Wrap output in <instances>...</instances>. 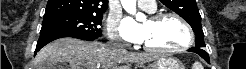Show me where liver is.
Returning <instances> with one entry per match:
<instances>
[{
    "label": "liver",
    "mask_w": 246,
    "mask_h": 69,
    "mask_svg": "<svg viewBox=\"0 0 246 69\" xmlns=\"http://www.w3.org/2000/svg\"><path fill=\"white\" fill-rule=\"evenodd\" d=\"M157 56L131 53L99 42L61 38L43 47L36 55L34 69H56L57 63H69L70 69H124L116 64L151 62Z\"/></svg>",
    "instance_id": "liver-1"
}]
</instances>
